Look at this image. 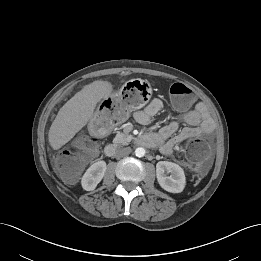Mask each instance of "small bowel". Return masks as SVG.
<instances>
[{
	"label": "small bowel",
	"instance_id": "c3829d8e",
	"mask_svg": "<svg viewBox=\"0 0 261 261\" xmlns=\"http://www.w3.org/2000/svg\"><path fill=\"white\" fill-rule=\"evenodd\" d=\"M163 102L153 99L143 110L134 114L135 120L141 125H150L152 119L162 111ZM183 120L187 127L179 131L177 122H170L153 135L155 144L164 155L172 154L174 147L180 142L199 136H210L214 130V123L205 113L204 106L198 104L196 108L184 113Z\"/></svg>",
	"mask_w": 261,
	"mask_h": 261
}]
</instances>
